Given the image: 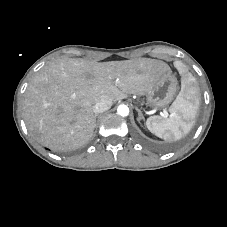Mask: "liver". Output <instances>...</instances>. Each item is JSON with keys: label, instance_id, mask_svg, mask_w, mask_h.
I'll return each instance as SVG.
<instances>
[{"label": "liver", "instance_id": "1", "mask_svg": "<svg viewBox=\"0 0 227 227\" xmlns=\"http://www.w3.org/2000/svg\"><path fill=\"white\" fill-rule=\"evenodd\" d=\"M170 67L155 59L95 62L81 58L55 60L39 70L23 97L29 132L56 151L74 150L93 135L96 101L108 96L144 95Z\"/></svg>", "mask_w": 227, "mask_h": 227}]
</instances>
